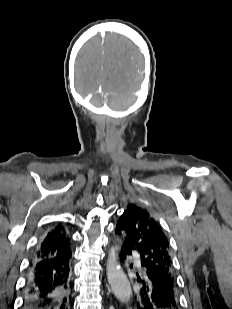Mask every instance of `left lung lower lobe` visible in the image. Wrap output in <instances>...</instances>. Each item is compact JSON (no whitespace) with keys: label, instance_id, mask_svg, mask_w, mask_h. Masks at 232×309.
I'll return each mask as SVG.
<instances>
[{"label":"left lung lower lobe","instance_id":"1","mask_svg":"<svg viewBox=\"0 0 232 309\" xmlns=\"http://www.w3.org/2000/svg\"><path fill=\"white\" fill-rule=\"evenodd\" d=\"M115 232L121 236L119 231ZM131 255V248L123 240L118 247L119 261L124 263ZM136 280L141 286L138 309H178L179 302L173 298L170 289L158 274L142 266Z\"/></svg>","mask_w":232,"mask_h":309}]
</instances>
